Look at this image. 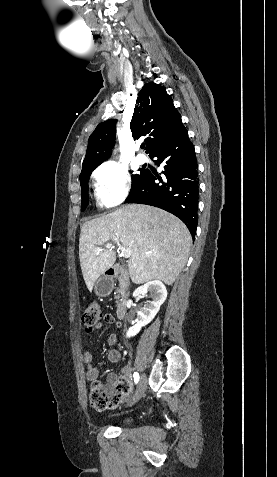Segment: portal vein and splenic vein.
Instances as JSON below:
<instances>
[{
	"label": "portal vein and splenic vein",
	"mask_w": 277,
	"mask_h": 477,
	"mask_svg": "<svg viewBox=\"0 0 277 477\" xmlns=\"http://www.w3.org/2000/svg\"><path fill=\"white\" fill-rule=\"evenodd\" d=\"M117 246H118V248L121 250L122 256H123L124 258H129V257L132 255V250H131V249L126 248V247L122 246V245L119 244V243H117ZM113 247H114V245H113L112 243H108V244L106 245V248H108V249H109V248H113ZM102 250H103L102 248H97V249H96L97 252H101Z\"/></svg>",
	"instance_id": "1"
}]
</instances>
